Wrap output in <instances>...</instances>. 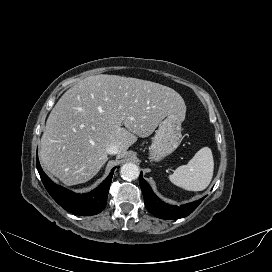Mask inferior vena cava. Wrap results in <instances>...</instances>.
Segmentation results:
<instances>
[{
    "label": "inferior vena cava",
    "instance_id": "602c4592",
    "mask_svg": "<svg viewBox=\"0 0 272 272\" xmlns=\"http://www.w3.org/2000/svg\"><path fill=\"white\" fill-rule=\"evenodd\" d=\"M106 152L109 155L117 154L119 152V147L117 145H110L107 147Z\"/></svg>",
    "mask_w": 272,
    "mask_h": 272
}]
</instances>
